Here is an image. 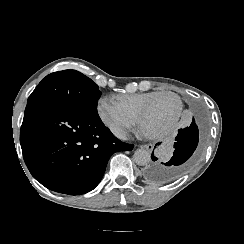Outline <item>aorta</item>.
<instances>
[{
    "instance_id": "obj_1",
    "label": "aorta",
    "mask_w": 244,
    "mask_h": 244,
    "mask_svg": "<svg viewBox=\"0 0 244 244\" xmlns=\"http://www.w3.org/2000/svg\"><path fill=\"white\" fill-rule=\"evenodd\" d=\"M134 162L137 165L145 166L150 162L151 154L149 150L137 149L133 155Z\"/></svg>"
}]
</instances>
